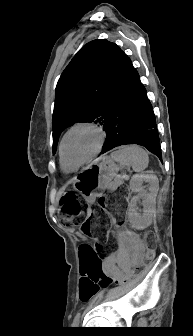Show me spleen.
Segmentation results:
<instances>
[{"label": "spleen", "mask_w": 193, "mask_h": 336, "mask_svg": "<svg viewBox=\"0 0 193 336\" xmlns=\"http://www.w3.org/2000/svg\"><path fill=\"white\" fill-rule=\"evenodd\" d=\"M111 158L121 166H132L135 172L143 171L149 163L147 152L137 145L122 146L111 153Z\"/></svg>", "instance_id": "spleen-1"}]
</instances>
